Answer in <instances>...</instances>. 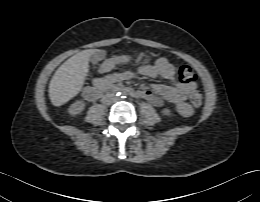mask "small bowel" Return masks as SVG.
I'll return each instance as SVG.
<instances>
[{
    "instance_id": "small-bowel-1",
    "label": "small bowel",
    "mask_w": 260,
    "mask_h": 202,
    "mask_svg": "<svg viewBox=\"0 0 260 202\" xmlns=\"http://www.w3.org/2000/svg\"><path fill=\"white\" fill-rule=\"evenodd\" d=\"M129 61L128 56H115L105 60L100 66L99 72L104 74L112 71L118 65ZM139 72L148 77L160 76L166 80V84H154L151 88H145L136 92L137 98L145 99L154 106L160 107L164 100L175 106L177 112L183 117H189L193 109L186 101L189 93L196 89V83H181L175 72V66L167 58H159L154 65H142ZM131 72L114 73L103 78H97L95 85L100 81L118 82L125 79L134 78Z\"/></svg>"
}]
</instances>
